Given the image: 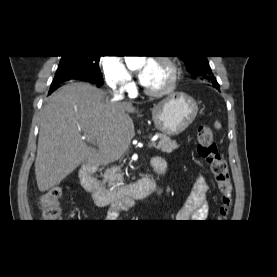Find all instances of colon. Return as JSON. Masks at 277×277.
Masks as SVG:
<instances>
[{"mask_svg":"<svg viewBox=\"0 0 277 277\" xmlns=\"http://www.w3.org/2000/svg\"><path fill=\"white\" fill-rule=\"evenodd\" d=\"M198 154L210 166L211 173L220 194L219 214L228 217L233 201V184L226 161L222 158L211 128L201 125L197 132ZM61 188L58 186L47 190L39 198V208L43 222H58L61 215Z\"/></svg>","mask_w":277,"mask_h":277,"instance_id":"obj_1","label":"colon"}]
</instances>
